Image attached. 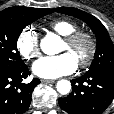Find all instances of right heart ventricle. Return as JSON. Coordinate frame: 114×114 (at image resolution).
Instances as JSON below:
<instances>
[{
    "mask_svg": "<svg viewBox=\"0 0 114 114\" xmlns=\"http://www.w3.org/2000/svg\"><path fill=\"white\" fill-rule=\"evenodd\" d=\"M49 27L64 37L78 30L77 24L68 19L53 20L49 23Z\"/></svg>",
    "mask_w": 114,
    "mask_h": 114,
    "instance_id": "obj_1",
    "label": "right heart ventricle"
}]
</instances>
